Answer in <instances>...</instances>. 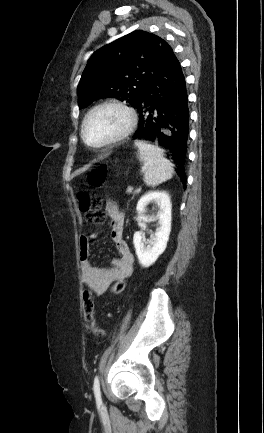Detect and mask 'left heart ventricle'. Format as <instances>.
I'll return each mask as SVG.
<instances>
[{
	"label": "left heart ventricle",
	"mask_w": 264,
	"mask_h": 433,
	"mask_svg": "<svg viewBox=\"0 0 264 433\" xmlns=\"http://www.w3.org/2000/svg\"><path fill=\"white\" fill-rule=\"evenodd\" d=\"M127 122L123 111L117 108H103L94 113L85 127L86 138L91 143H99L121 132Z\"/></svg>",
	"instance_id": "obj_1"
}]
</instances>
